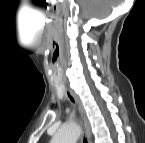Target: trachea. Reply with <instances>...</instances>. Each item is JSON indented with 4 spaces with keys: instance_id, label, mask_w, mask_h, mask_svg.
Here are the masks:
<instances>
[{
    "instance_id": "3493384b",
    "label": "trachea",
    "mask_w": 145,
    "mask_h": 143,
    "mask_svg": "<svg viewBox=\"0 0 145 143\" xmlns=\"http://www.w3.org/2000/svg\"><path fill=\"white\" fill-rule=\"evenodd\" d=\"M70 97V96H69ZM70 99L73 101V99L70 97ZM84 143H87V140L86 139H84Z\"/></svg>"
}]
</instances>
